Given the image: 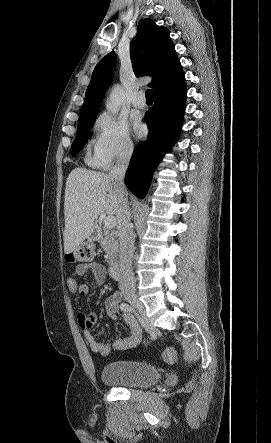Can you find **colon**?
<instances>
[{
	"instance_id": "obj_1",
	"label": "colon",
	"mask_w": 271,
	"mask_h": 443,
	"mask_svg": "<svg viewBox=\"0 0 271 443\" xmlns=\"http://www.w3.org/2000/svg\"><path fill=\"white\" fill-rule=\"evenodd\" d=\"M96 251L91 243H83L75 250L66 254V260L71 263H90L95 259ZM82 293L86 291V288L81 289ZM162 358L166 363L174 362L176 358V350L173 347H168L162 354Z\"/></svg>"
}]
</instances>
